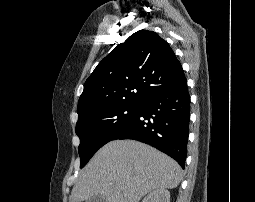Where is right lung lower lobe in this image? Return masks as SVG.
I'll use <instances>...</instances> for the list:
<instances>
[{"label": "right lung lower lobe", "mask_w": 255, "mask_h": 202, "mask_svg": "<svg viewBox=\"0 0 255 202\" xmlns=\"http://www.w3.org/2000/svg\"><path fill=\"white\" fill-rule=\"evenodd\" d=\"M190 120L186 81L146 99L130 122L113 138L149 144L175 159L184 169Z\"/></svg>", "instance_id": "98d812e1"}]
</instances>
